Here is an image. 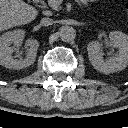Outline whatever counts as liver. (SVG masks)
<instances>
[{"label": "liver", "instance_id": "obj_1", "mask_svg": "<svg viewBox=\"0 0 128 128\" xmlns=\"http://www.w3.org/2000/svg\"><path fill=\"white\" fill-rule=\"evenodd\" d=\"M38 11L22 0H0V32L33 21Z\"/></svg>", "mask_w": 128, "mask_h": 128}]
</instances>
